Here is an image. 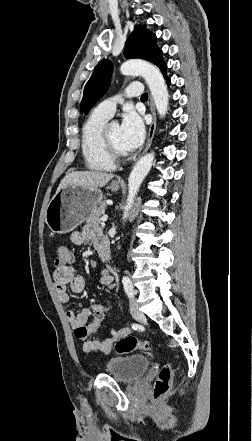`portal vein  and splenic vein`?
Masks as SVG:
<instances>
[{"label": "portal vein and splenic vein", "mask_w": 252, "mask_h": 441, "mask_svg": "<svg viewBox=\"0 0 252 441\" xmlns=\"http://www.w3.org/2000/svg\"><path fill=\"white\" fill-rule=\"evenodd\" d=\"M107 219H108V217H107L106 215H103V216L100 218V220H101L102 222H106Z\"/></svg>", "instance_id": "obj_1"}]
</instances>
